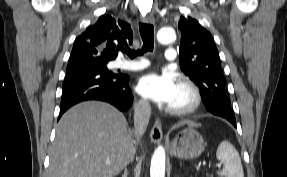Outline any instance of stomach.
I'll return each mask as SVG.
<instances>
[{"instance_id":"0dacf381","label":"stomach","mask_w":287,"mask_h":177,"mask_svg":"<svg viewBox=\"0 0 287 177\" xmlns=\"http://www.w3.org/2000/svg\"><path fill=\"white\" fill-rule=\"evenodd\" d=\"M205 149L202 135L192 126L180 131L171 143V154L179 159L192 160Z\"/></svg>"}]
</instances>
